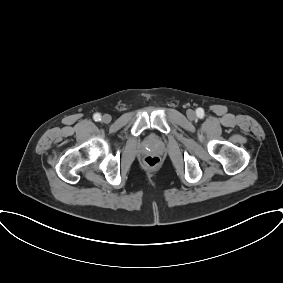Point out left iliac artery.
Returning <instances> with one entry per match:
<instances>
[{"mask_svg":"<svg viewBox=\"0 0 283 283\" xmlns=\"http://www.w3.org/2000/svg\"><path fill=\"white\" fill-rule=\"evenodd\" d=\"M197 116L200 118L204 116V110L202 108L197 109Z\"/></svg>","mask_w":283,"mask_h":283,"instance_id":"left-iliac-artery-1","label":"left iliac artery"}]
</instances>
